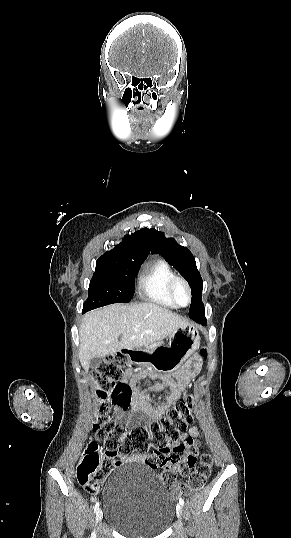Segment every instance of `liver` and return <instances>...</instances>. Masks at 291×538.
I'll list each match as a JSON object with an SVG mask.
<instances>
[{
    "label": "liver",
    "mask_w": 291,
    "mask_h": 538,
    "mask_svg": "<svg viewBox=\"0 0 291 538\" xmlns=\"http://www.w3.org/2000/svg\"><path fill=\"white\" fill-rule=\"evenodd\" d=\"M189 325L185 318L151 302L112 304L91 311L79 329L81 365L88 369L94 357L147 346Z\"/></svg>",
    "instance_id": "obj_1"
}]
</instances>
